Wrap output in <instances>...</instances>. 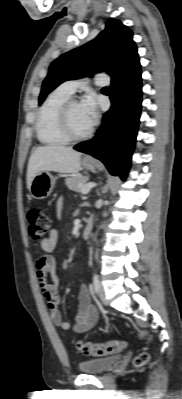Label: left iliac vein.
Here are the masks:
<instances>
[{"instance_id": "4c4485c4", "label": "left iliac vein", "mask_w": 182, "mask_h": 399, "mask_svg": "<svg viewBox=\"0 0 182 399\" xmlns=\"http://www.w3.org/2000/svg\"><path fill=\"white\" fill-rule=\"evenodd\" d=\"M99 298H100V300L102 301V303L104 305L108 304V301H107L106 295H105V290H104V287L102 285H100V289H99Z\"/></svg>"}]
</instances>
